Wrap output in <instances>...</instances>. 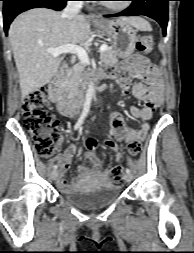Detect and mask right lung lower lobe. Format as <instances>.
<instances>
[{"label":"right lung lower lobe","mask_w":194,"mask_h":253,"mask_svg":"<svg viewBox=\"0 0 194 253\" xmlns=\"http://www.w3.org/2000/svg\"><path fill=\"white\" fill-rule=\"evenodd\" d=\"M3 1L4 30L8 34V28L12 20L21 12L46 7L54 10H61L66 6L68 0H0Z\"/></svg>","instance_id":"obj_1"}]
</instances>
